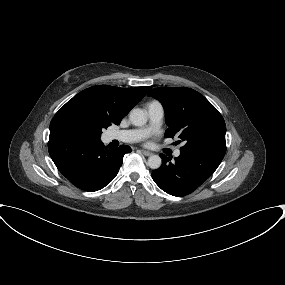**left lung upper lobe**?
Listing matches in <instances>:
<instances>
[{"instance_id": "left-lung-upper-lobe-1", "label": "left lung upper lobe", "mask_w": 285, "mask_h": 285, "mask_svg": "<svg viewBox=\"0 0 285 285\" xmlns=\"http://www.w3.org/2000/svg\"><path fill=\"white\" fill-rule=\"evenodd\" d=\"M150 96L165 109V137L177 136L181 151L197 152L223 159L226 125L217 109L199 92L186 87L155 88ZM180 142V141H177Z\"/></svg>"}]
</instances>
